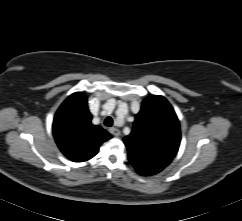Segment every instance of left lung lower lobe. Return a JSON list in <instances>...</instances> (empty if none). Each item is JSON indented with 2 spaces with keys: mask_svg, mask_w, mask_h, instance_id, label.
<instances>
[{
  "mask_svg": "<svg viewBox=\"0 0 242 221\" xmlns=\"http://www.w3.org/2000/svg\"><path fill=\"white\" fill-rule=\"evenodd\" d=\"M137 172L142 176H151L164 169V166L129 159Z\"/></svg>",
  "mask_w": 242,
  "mask_h": 221,
  "instance_id": "obj_1",
  "label": "left lung lower lobe"
}]
</instances>
